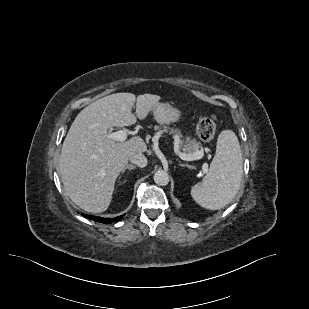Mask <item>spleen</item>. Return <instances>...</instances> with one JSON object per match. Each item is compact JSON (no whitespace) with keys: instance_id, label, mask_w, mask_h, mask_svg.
<instances>
[{"instance_id":"obj_1","label":"spleen","mask_w":309,"mask_h":309,"mask_svg":"<svg viewBox=\"0 0 309 309\" xmlns=\"http://www.w3.org/2000/svg\"><path fill=\"white\" fill-rule=\"evenodd\" d=\"M243 173V158L237 136L223 130L217 139L216 153L206 176L192 187L191 196L200 206L219 210L237 194Z\"/></svg>"}]
</instances>
